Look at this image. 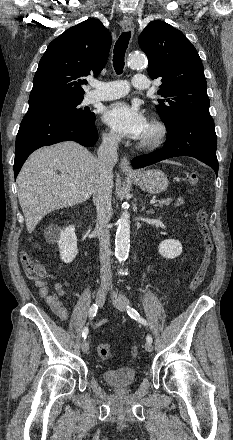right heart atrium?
<instances>
[{
    "instance_id": "obj_1",
    "label": "right heart atrium",
    "mask_w": 233,
    "mask_h": 440,
    "mask_svg": "<svg viewBox=\"0 0 233 440\" xmlns=\"http://www.w3.org/2000/svg\"><path fill=\"white\" fill-rule=\"evenodd\" d=\"M104 140L109 144H113L117 141V136L113 132L109 131L104 134Z\"/></svg>"
}]
</instances>
